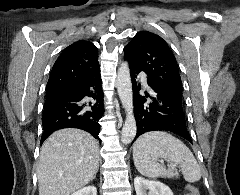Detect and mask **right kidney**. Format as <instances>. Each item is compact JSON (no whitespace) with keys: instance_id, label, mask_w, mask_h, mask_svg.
Instances as JSON below:
<instances>
[{"instance_id":"ca27d5eb","label":"right kidney","mask_w":240,"mask_h":195,"mask_svg":"<svg viewBox=\"0 0 240 195\" xmlns=\"http://www.w3.org/2000/svg\"><path fill=\"white\" fill-rule=\"evenodd\" d=\"M71 195H97V189L95 185H87V187H82V189L74 191Z\"/></svg>"}]
</instances>
